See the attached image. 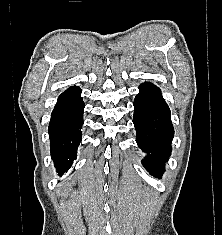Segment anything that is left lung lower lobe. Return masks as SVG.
<instances>
[{
	"label": "left lung lower lobe",
	"mask_w": 222,
	"mask_h": 235,
	"mask_svg": "<svg viewBox=\"0 0 222 235\" xmlns=\"http://www.w3.org/2000/svg\"><path fill=\"white\" fill-rule=\"evenodd\" d=\"M133 105L136 141L139 148L147 153L142 163L150 174L161 178L171 154L174 135L170 109L160 89L148 82L139 86Z\"/></svg>",
	"instance_id": "1"
}]
</instances>
